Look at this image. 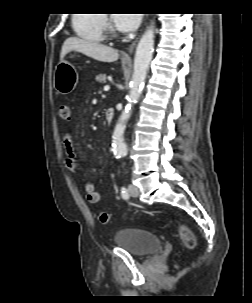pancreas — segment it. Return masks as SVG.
<instances>
[{
  "mask_svg": "<svg viewBox=\"0 0 252 303\" xmlns=\"http://www.w3.org/2000/svg\"><path fill=\"white\" fill-rule=\"evenodd\" d=\"M96 81L99 83H105L106 82V74H99L96 76Z\"/></svg>",
  "mask_w": 252,
  "mask_h": 303,
  "instance_id": "obj_1",
  "label": "pancreas"
}]
</instances>
